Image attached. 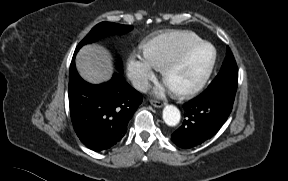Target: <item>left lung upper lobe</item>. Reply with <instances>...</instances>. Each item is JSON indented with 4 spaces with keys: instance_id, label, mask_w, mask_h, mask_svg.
Listing matches in <instances>:
<instances>
[{
    "instance_id": "obj_1",
    "label": "left lung upper lobe",
    "mask_w": 288,
    "mask_h": 181,
    "mask_svg": "<svg viewBox=\"0 0 288 181\" xmlns=\"http://www.w3.org/2000/svg\"><path fill=\"white\" fill-rule=\"evenodd\" d=\"M237 85V64L230 48L227 47L226 58L223 62L220 72L202 94L208 95L212 93H218L234 99Z\"/></svg>"
}]
</instances>
